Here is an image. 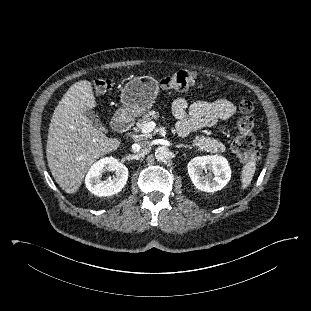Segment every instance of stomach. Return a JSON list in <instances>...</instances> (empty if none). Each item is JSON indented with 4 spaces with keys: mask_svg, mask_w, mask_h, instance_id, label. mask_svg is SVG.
Segmentation results:
<instances>
[{
    "mask_svg": "<svg viewBox=\"0 0 311 311\" xmlns=\"http://www.w3.org/2000/svg\"><path fill=\"white\" fill-rule=\"evenodd\" d=\"M159 91L158 82L152 77H140L129 81L122 90L121 103L116 115L140 116L154 104Z\"/></svg>",
    "mask_w": 311,
    "mask_h": 311,
    "instance_id": "1",
    "label": "stomach"
}]
</instances>
